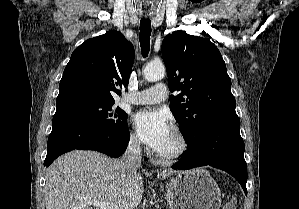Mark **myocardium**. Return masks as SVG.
<instances>
[{
  "mask_svg": "<svg viewBox=\"0 0 299 209\" xmlns=\"http://www.w3.org/2000/svg\"><path fill=\"white\" fill-rule=\"evenodd\" d=\"M172 133L177 141V147L168 153H160L155 151L154 157L160 163L171 164L177 162L189 151L190 143L186 134L178 127H173Z\"/></svg>",
  "mask_w": 299,
  "mask_h": 209,
  "instance_id": "obj_1",
  "label": "myocardium"
}]
</instances>
